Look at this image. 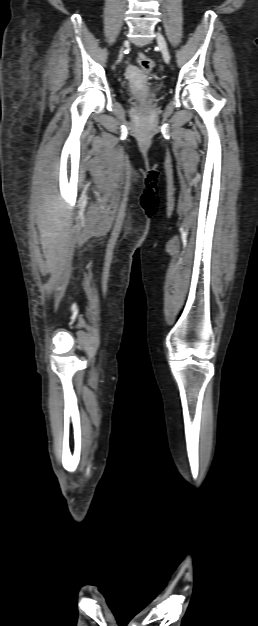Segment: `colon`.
I'll list each match as a JSON object with an SVG mask.
<instances>
[{
  "instance_id": "1",
  "label": "colon",
  "mask_w": 258,
  "mask_h": 626,
  "mask_svg": "<svg viewBox=\"0 0 258 626\" xmlns=\"http://www.w3.org/2000/svg\"><path fill=\"white\" fill-rule=\"evenodd\" d=\"M137 61H138L139 65L141 66V68L143 70H145L146 72L151 71L153 69V67H154V62L152 61V59H150L144 53H139L138 54Z\"/></svg>"
}]
</instances>
